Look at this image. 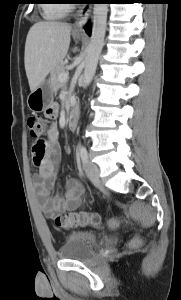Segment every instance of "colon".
I'll return each instance as SVG.
<instances>
[{
  "label": "colon",
  "mask_w": 181,
  "mask_h": 300,
  "mask_svg": "<svg viewBox=\"0 0 181 300\" xmlns=\"http://www.w3.org/2000/svg\"><path fill=\"white\" fill-rule=\"evenodd\" d=\"M29 134L33 139L32 150L42 153L46 147V141L43 135L47 129V123L39 116H31L27 120ZM101 218L96 213H63L55 218V224L61 228H72L76 226H98ZM120 224L119 220L111 219L108 222L109 227L116 228ZM139 244V239L134 238L130 241V246Z\"/></svg>",
  "instance_id": "5ec220e1"
}]
</instances>
